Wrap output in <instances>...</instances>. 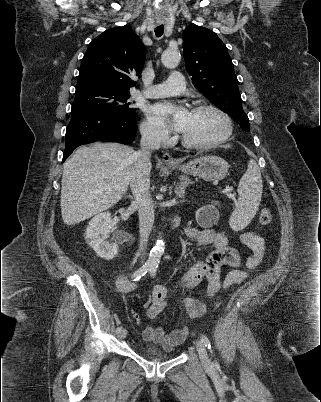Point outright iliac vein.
I'll return each instance as SVG.
<instances>
[{"instance_id": "63e3f726", "label": "right iliac vein", "mask_w": 321, "mask_h": 402, "mask_svg": "<svg viewBox=\"0 0 321 402\" xmlns=\"http://www.w3.org/2000/svg\"><path fill=\"white\" fill-rule=\"evenodd\" d=\"M126 336H127V330L126 329L121 330L119 332V334H118L119 339H124V338H126Z\"/></svg>"}]
</instances>
